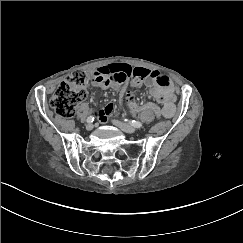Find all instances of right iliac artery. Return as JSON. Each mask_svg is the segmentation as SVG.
I'll return each mask as SVG.
<instances>
[{"instance_id":"obj_1","label":"right iliac artery","mask_w":243,"mask_h":243,"mask_svg":"<svg viewBox=\"0 0 243 243\" xmlns=\"http://www.w3.org/2000/svg\"><path fill=\"white\" fill-rule=\"evenodd\" d=\"M94 121V117L93 116H89L88 118H87V122L88 123H91V122H93Z\"/></svg>"}]
</instances>
